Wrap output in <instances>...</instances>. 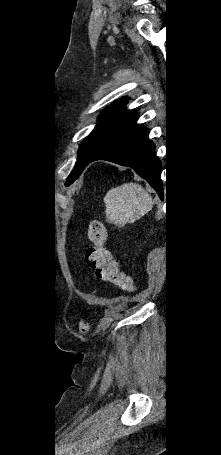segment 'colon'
I'll use <instances>...</instances> for the list:
<instances>
[{
    "mask_svg": "<svg viewBox=\"0 0 221 455\" xmlns=\"http://www.w3.org/2000/svg\"><path fill=\"white\" fill-rule=\"evenodd\" d=\"M88 238L91 246L86 252V261L91 269L94 270L96 278L112 283L118 289L132 291L134 281L132 277L119 269L118 263L111 256L106 248V232L104 225L99 220H93L88 229ZM89 325L83 321L80 331L86 332Z\"/></svg>",
    "mask_w": 221,
    "mask_h": 455,
    "instance_id": "obj_1",
    "label": "colon"
}]
</instances>
